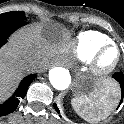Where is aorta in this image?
<instances>
[{
	"instance_id": "762f6f07",
	"label": "aorta",
	"mask_w": 124,
	"mask_h": 124,
	"mask_svg": "<svg viewBox=\"0 0 124 124\" xmlns=\"http://www.w3.org/2000/svg\"><path fill=\"white\" fill-rule=\"evenodd\" d=\"M49 80L55 89L64 90L69 86L71 76L65 68L55 67L49 72Z\"/></svg>"
}]
</instances>
